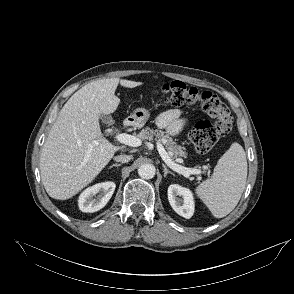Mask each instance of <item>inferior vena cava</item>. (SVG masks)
<instances>
[{
  "label": "inferior vena cava",
  "mask_w": 294,
  "mask_h": 294,
  "mask_svg": "<svg viewBox=\"0 0 294 294\" xmlns=\"http://www.w3.org/2000/svg\"><path fill=\"white\" fill-rule=\"evenodd\" d=\"M132 156L131 155H125V154H121V155H118L116 157H114V159L117 161V162H122V163H127L131 160Z\"/></svg>",
  "instance_id": "obj_1"
}]
</instances>
